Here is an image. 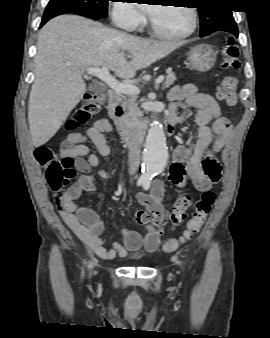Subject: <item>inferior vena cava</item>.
Wrapping results in <instances>:
<instances>
[{
  "label": "inferior vena cava",
  "mask_w": 270,
  "mask_h": 338,
  "mask_svg": "<svg viewBox=\"0 0 270 338\" xmlns=\"http://www.w3.org/2000/svg\"><path fill=\"white\" fill-rule=\"evenodd\" d=\"M140 152L141 151L139 140L136 136H133L129 142V153H128L130 174H134L138 170L141 158Z\"/></svg>",
  "instance_id": "obj_1"
}]
</instances>
